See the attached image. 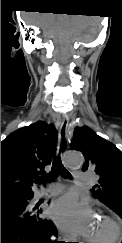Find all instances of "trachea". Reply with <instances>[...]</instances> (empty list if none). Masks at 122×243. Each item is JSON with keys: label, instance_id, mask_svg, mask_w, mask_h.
<instances>
[{"label": "trachea", "instance_id": "trachea-1", "mask_svg": "<svg viewBox=\"0 0 122 243\" xmlns=\"http://www.w3.org/2000/svg\"><path fill=\"white\" fill-rule=\"evenodd\" d=\"M61 175L63 178H71L69 171L63 166L60 157H57L52 164L51 171L45 177H38L35 182L42 183L43 181L53 182L58 176Z\"/></svg>", "mask_w": 122, "mask_h": 243}]
</instances>
